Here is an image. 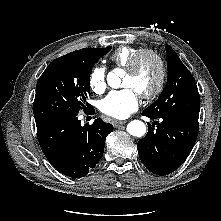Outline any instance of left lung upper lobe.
<instances>
[{
    "label": "left lung upper lobe",
    "instance_id": "1",
    "mask_svg": "<svg viewBox=\"0 0 221 221\" xmlns=\"http://www.w3.org/2000/svg\"><path fill=\"white\" fill-rule=\"evenodd\" d=\"M168 78L158 100L144 111L154 118H199L200 97L192 74L176 52L166 46Z\"/></svg>",
    "mask_w": 221,
    "mask_h": 221
}]
</instances>
